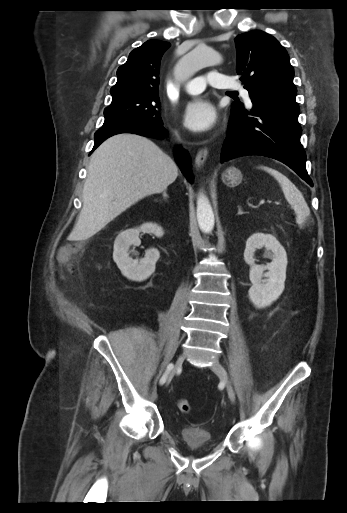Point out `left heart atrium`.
I'll use <instances>...</instances> for the list:
<instances>
[{
  "label": "left heart atrium",
  "mask_w": 347,
  "mask_h": 513,
  "mask_svg": "<svg viewBox=\"0 0 347 513\" xmlns=\"http://www.w3.org/2000/svg\"><path fill=\"white\" fill-rule=\"evenodd\" d=\"M214 105L204 97H197L187 103L183 120L185 126L195 132L210 130L216 122Z\"/></svg>",
  "instance_id": "39dd6f15"
}]
</instances>
